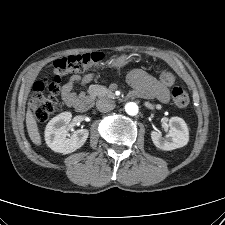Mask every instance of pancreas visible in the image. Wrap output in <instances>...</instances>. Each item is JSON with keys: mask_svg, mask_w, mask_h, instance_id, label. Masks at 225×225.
Returning <instances> with one entry per match:
<instances>
[{"mask_svg": "<svg viewBox=\"0 0 225 225\" xmlns=\"http://www.w3.org/2000/svg\"><path fill=\"white\" fill-rule=\"evenodd\" d=\"M88 93L92 96H99V97L112 96V92L102 85H92L89 88Z\"/></svg>", "mask_w": 225, "mask_h": 225, "instance_id": "cf45deb5", "label": "pancreas"}]
</instances>
